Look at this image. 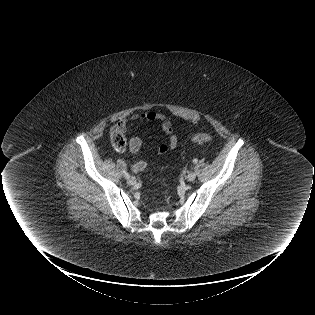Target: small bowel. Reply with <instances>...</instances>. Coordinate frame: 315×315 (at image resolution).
Segmentation results:
<instances>
[{
  "mask_svg": "<svg viewBox=\"0 0 315 315\" xmlns=\"http://www.w3.org/2000/svg\"><path fill=\"white\" fill-rule=\"evenodd\" d=\"M143 122H158L166 137L168 138L167 144H162L158 147L159 154H165L169 150L175 149L178 145V136L173 128V125L170 119L162 114L157 112H139L133 114L131 117L121 120L119 125L121 126L124 132L130 131L135 125H138ZM142 147V140L140 137L134 136L129 141L130 152L136 154ZM146 168V162L141 159H137L132 164V170L135 173L142 172Z\"/></svg>",
  "mask_w": 315,
  "mask_h": 315,
  "instance_id": "1",
  "label": "small bowel"
}]
</instances>
